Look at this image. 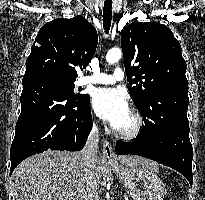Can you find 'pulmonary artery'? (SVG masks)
Returning a JSON list of instances; mask_svg holds the SVG:
<instances>
[{"label": "pulmonary artery", "instance_id": "1", "mask_svg": "<svg viewBox=\"0 0 205 200\" xmlns=\"http://www.w3.org/2000/svg\"><path fill=\"white\" fill-rule=\"evenodd\" d=\"M124 78V71L115 69L112 75L94 71L90 76L83 77L80 84H114Z\"/></svg>", "mask_w": 205, "mask_h": 200}]
</instances>
